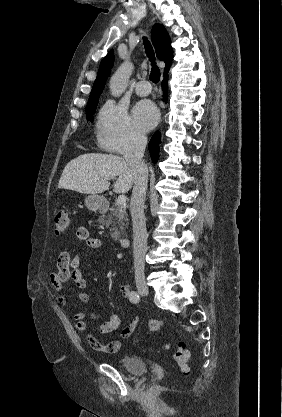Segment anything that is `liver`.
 I'll list each match as a JSON object with an SVG mask.
<instances>
[{
	"label": "liver",
	"mask_w": 282,
	"mask_h": 417,
	"mask_svg": "<svg viewBox=\"0 0 282 417\" xmlns=\"http://www.w3.org/2000/svg\"><path fill=\"white\" fill-rule=\"evenodd\" d=\"M119 176L114 192H128L134 182V174L122 156L88 152L72 158L66 164L58 182V188L78 190L85 194L104 192L109 188L110 178Z\"/></svg>",
	"instance_id": "6515ba94"
}]
</instances>
